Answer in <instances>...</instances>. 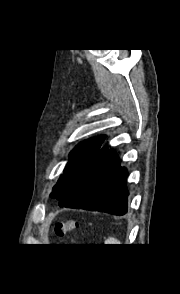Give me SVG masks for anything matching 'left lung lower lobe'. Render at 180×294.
Returning a JSON list of instances; mask_svg holds the SVG:
<instances>
[{
	"label": "left lung lower lobe",
	"mask_w": 180,
	"mask_h": 294,
	"mask_svg": "<svg viewBox=\"0 0 180 294\" xmlns=\"http://www.w3.org/2000/svg\"><path fill=\"white\" fill-rule=\"evenodd\" d=\"M119 165L116 152L103 147L77 177L59 205L124 215L127 212V170Z\"/></svg>",
	"instance_id": "left-lung-lower-lobe-1"
}]
</instances>
